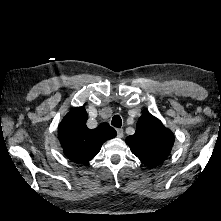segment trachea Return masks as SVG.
<instances>
[{
  "label": "trachea",
  "mask_w": 221,
  "mask_h": 221,
  "mask_svg": "<svg viewBox=\"0 0 221 221\" xmlns=\"http://www.w3.org/2000/svg\"><path fill=\"white\" fill-rule=\"evenodd\" d=\"M111 125L114 126V127L120 128L121 125H122L121 117L119 115H115L112 118Z\"/></svg>",
  "instance_id": "3493384b"
}]
</instances>
